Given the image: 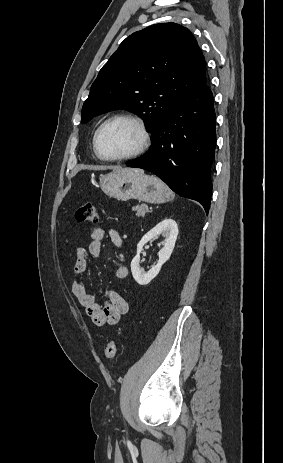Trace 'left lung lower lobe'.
I'll use <instances>...</instances> for the list:
<instances>
[{"label": "left lung lower lobe", "mask_w": 283, "mask_h": 463, "mask_svg": "<svg viewBox=\"0 0 283 463\" xmlns=\"http://www.w3.org/2000/svg\"><path fill=\"white\" fill-rule=\"evenodd\" d=\"M213 95L205 83L182 99L153 133L150 151L127 163L160 177L174 192L210 208L216 132Z\"/></svg>", "instance_id": "left-lung-lower-lobe-1"}]
</instances>
